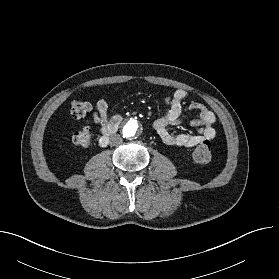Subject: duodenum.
<instances>
[{"label":"duodenum","mask_w":279,"mask_h":279,"mask_svg":"<svg viewBox=\"0 0 279 279\" xmlns=\"http://www.w3.org/2000/svg\"><path fill=\"white\" fill-rule=\"evenodd\" d=\"M121 117L116 116L113 118L111 123L108 125L105 133L99 139V144L103 147L107 146L111 137L117 132L120 124H121Z\"/></svg>","instance_id":"duodenum-1"}]
</instances>
